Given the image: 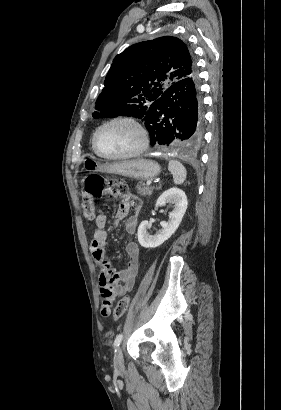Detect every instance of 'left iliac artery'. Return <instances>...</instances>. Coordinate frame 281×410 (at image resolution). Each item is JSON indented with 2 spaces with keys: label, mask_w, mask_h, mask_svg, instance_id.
<instances>
[{
  "label": "left iliac artery",
  "mask_w": 281,
  "mask_h": 410,
  "mask_svg": "<svg viewBox=\"0 0 281 410\" xmlns=\"http://www.w3.org/2000/svg\"><path fill=\"white\" fill-rule=\"evenodd\" d=\"M122 338H123L122 334H119V335L116 336L115 341H114L115 350H116V348H118L120 346Z\"/></svg>",
  "instance_id": "1"
}]
</instances>
